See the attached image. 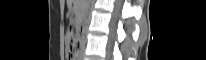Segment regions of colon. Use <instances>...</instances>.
Masks as SVG:
<instances>
[{
    "label": "colon",
    "instance_id": "5ec220e1",
    "mask_svg": "<svg viewBox=\"0 0 206 60\" xmlns=\"http://www.w3.org/2000/svg\"><path fill=\"white\" fill-rule=\"evenodd\" d=\"M66 37L69 42V57H74L76 51H77V45L74 42V33L72 28H68L66 31Z\"/></svg>",
    "mask_w": 206,
    "mask_h": 60
}]
</instances>
